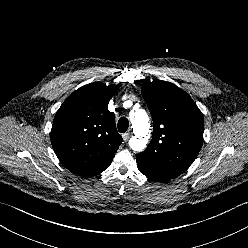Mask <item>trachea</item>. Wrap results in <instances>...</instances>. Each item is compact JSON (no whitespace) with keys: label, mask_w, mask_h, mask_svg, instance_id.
<instances>
[{"label":"trachea","mask_w":248,"mask_h":248,"mask_svg":"<svg viewBox=\"0 0 248 248\" xmlns=\"http://www.w3.org/2000/svg\"><path fill=\"white\" fill-rule=\"evenodd\" d=\"M118 130L120 133H124L127 131L128 127H129V121L127 118L125 117H121L118 120V124H117Z\"/></svg>","instance_id":"trachea-1"}]
</instances>
